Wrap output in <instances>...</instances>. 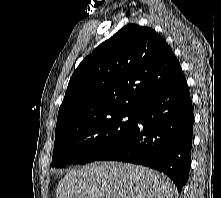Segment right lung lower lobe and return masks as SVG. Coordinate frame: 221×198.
<instances>
[{
  "label": "right lung lower lobe",
  "mask_w": 221,
  "mask_h": 198,
  "mask_svg": "<svg viewBox=\"0 0 221 198\" xmlns=\"http://www.w3.org/2000/svg\"><path fill=\"white\" fill-rule=\"evenodd\" d=\"M193 120L190 93L183 75L151 98L136 114L130 132L96 160L124 161L159 170L181 192L191 166Z\"/></svg>",
  "instance_id": "right-lung-lower-lobe-1"
}]
</instances>
